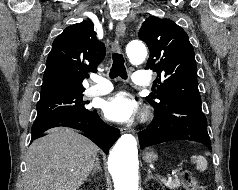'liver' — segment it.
<instances>
[{
	"mask_svg": "<svg viewBox=\"0 0 238 190\" xmlns=\"http://www.w3.org/2000/svg\"><path fill=\"white\" fill-rule=\"evenodd\" d=\"M98 147L66 127L50 129L29 147L24 190H77L89 176Z\"/></svg>",
	"mask_w": 238,
	"mask_h": 190,
	"instance_id": "6515ba94",
	"label": "liver"
}]
</instances>
